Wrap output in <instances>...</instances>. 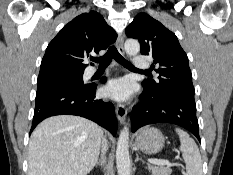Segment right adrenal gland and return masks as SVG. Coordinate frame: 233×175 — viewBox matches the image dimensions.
<instances>
[{
	"instance_id": "2a0ac1e0",
	"label": "right adrenal gland",
	"mask_w": 233,
	"mask_h": 175,
	"mask_svg": "<svg viewBox=\"0 0 233 175\" xmlns=\"http://www.w3.org/2000/svg\"><path fill=\"white\" fill-rule=\"evenodd\" d=\"M106 161L104 159V156L101 155V158L97 161L96 163V167H100L101 169L103 168V166L105 165Z\"/></svg>"
}]
</instances>
